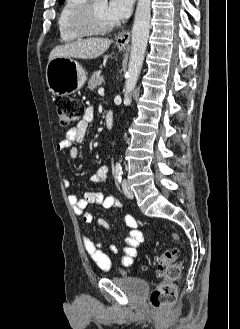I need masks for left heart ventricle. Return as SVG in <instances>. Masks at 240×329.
<instances>
[{
	"label": "left heart ventricle",
	"instance_id": "obj_1",
	"mask_svg": "<svg viewBox=\"0 0 240 329\" xmlns=\"http://www.w3.org/2000/svg\"><path fill=\"white\" fill-rule=\"evenodd\" d=\"M106 6L107 3L105 0L93 1V7L97 18L103 23L110 24L113 22L110 19H108V17L106 16Z\"/></svg>",
	"mask_w": 240,
	"mask_h": 329
}]
</instances>
